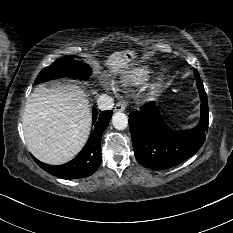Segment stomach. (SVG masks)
Wrapping results in <instances>:
<instances>
[{
	"label": "stomach",
	"mask_w": 233,
	"mask_h": 233,
	"mask_svg": "<svg viewBox=\"0 0 233 233\" xmlns=\"http://www.w3.org/2000/svg\"><path fill=\"white\" fill-rule=\"evenodd\" d=\"M122 54L126 57L127 61H130L134 58V52L133 51H124Z\"/></svg>",
	"instance_id": "0dacf381"
}]
</instances>
